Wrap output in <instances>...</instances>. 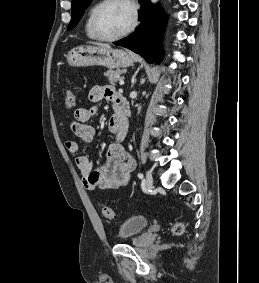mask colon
I'll return each instance as SVG.
<instances>
[{"label": "colon", "instance_id": "5ec220e1", "mask_svg": "<svg viewBox=\"0 0 259 283\" xmlns=\"http://www.w3.org/2000/svg\"><path fill=\"white\" fill-rule=\"evenodd\" d=\"M65 104L68 108H73L76 104V96L75 93L72 89H68L65 93ZM102 213L104 215L105 218L107 219H113L114 218V212L110 207H103L102 209ZM184 230V225L182 222H176L173 227H172V231L175 234H181Z\"/></svg>", "mask_w": 259, "mask_h": 283}]
</instances>
